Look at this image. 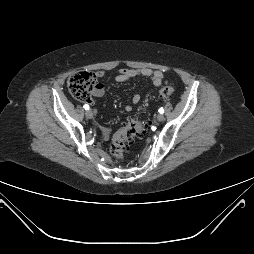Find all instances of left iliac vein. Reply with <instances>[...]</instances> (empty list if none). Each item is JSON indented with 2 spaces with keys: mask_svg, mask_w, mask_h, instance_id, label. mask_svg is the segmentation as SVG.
<instances>
[{
  "mask_svg": "<svg viewBox=\"0 0 254 254\" xmlns=\"http://www.w3.org/2000/svg\"><path fill=\"white\" fill-rule=\"evenodd\" d=\"M164 119H165V118H164V115H163V114L160 113V114L157 115V120H158L159 122L164 121Z\"/></svg>",
  "mask_w": 254,
  "mask_h": 254,
  "instance_id": "4c4485c4",
  "label": "left iliac vein"
}]
</instances>
